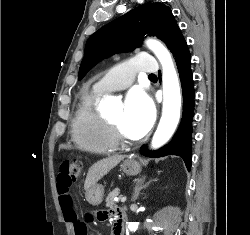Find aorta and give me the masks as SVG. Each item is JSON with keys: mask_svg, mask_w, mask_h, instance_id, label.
I'll use <instances>...</instances> for the list:
<instances>
[{"mask_svg": "<svg viewBox=\"0 0 250 235\" xmlns=\"http://www.w3.org/2000/svg\"><path fill=\"white\" fill-rule=\"evenodd\" d=\"M146 45L154 52L162 65L163 110L157 130L152 139V148L164 145L173 135L180 119L181 94L177 73L167 48L156 40L149 39ZM112 101V99H111ZM130 232H136L138 222H129Z\"/></svg>", "mask_w": 250, "mask_h": 235, "instance_id": "762f6f07", "label": "aorta"}]
</instances>
